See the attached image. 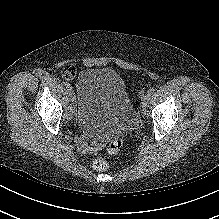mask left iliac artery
<instances>
[{
    "mask_svg": "<svg viewBox=\"0 0 219 219\" xmlns=\"http://www.w3.org/2000/svg\"><path fill=\"white\" fill-rule=\"evenodd\" d=\"M155 89L154 87H150L149 90L147 91V95L151 96L154 93Z\"/></svg>",
    "mask_w": 219,
    "mask_h": 219,
    "instance_id": "obj_1",
    "label": "left iliac artery"
}]
</instances>
